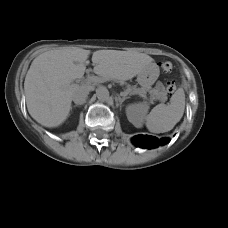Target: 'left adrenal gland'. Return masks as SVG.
Here are the masks:
<instances>
[{
	"instance_id": "obj_1",
	"label": "left adrenal gland",
	"mask_w": 228,
	"mask_h": 228,
	"mask_svg": "<svg viewBox=\"0 0 228 228\" xmlns=\"http://www.w3.org/2000/svg\"><path fill=\"white\" fill-rule=\"evenodd\" d=\"M128 98H129V97H127V96H123V97L118 96V100H119V103H120V109H121L122 103H123L126 99H128Z\"/></svg>"
}]
</instances>
